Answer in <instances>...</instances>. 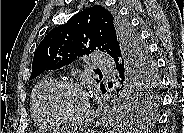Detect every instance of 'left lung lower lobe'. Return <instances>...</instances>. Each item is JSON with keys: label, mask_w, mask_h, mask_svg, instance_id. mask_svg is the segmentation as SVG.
<instances>
[{"label": "left lung lower lobe", "mask_w": 184, "mask_h": 133, "mask_svg": "<svg viewBox=\"0 0 184 133\" xmlns=\"http://www.w3.org/2000/svg\"><path fill=\"white\" fill-rule=\"evenodd\" d=\"M117 69H118V68H117ZM118 71H119V69H118ZM102 92H103V93H106V90H104V91H102ZM134 116H135V115H132L133 118H134Z\"/></svg>", "instance_id": "obj_1"}]
</instances>
